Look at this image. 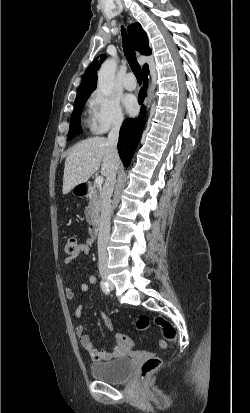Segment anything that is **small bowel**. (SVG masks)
Here are the masks:
<instances>
[{
    "mask_svg": "<svg viewBox=\"0 0 250 413\" xmlns=\"http://www.w3.org/2000/svg\"><path fill=\"white\" fill-rule=\"evenodd\" d=\"M93 241L91 239H88L86 242L80 243L78 247V251L74 255H69L64 259V264L66 267H72L76 263V259L79 255L82 254H88L91 248ZM96 277L93 275L88 276L86 281H82L80 283V289L83 292H86L88 290V285L89 284H95L96 283ZM65 295L66 298L69 300H72L76 296V291L73 288H67L65 290ZM83 305H78L75 309V316L77 318H81L83 314ZM113 330V329H111ZM75 333L79 339V342L81 346L84 348V350L89 354L90 358L94 361H108L112 360L118 356H120L124 350L125 346L122 345L119 341L116 340V347L114 348L113 351H104L96 348L88 334L85 333V327L84 325L80 324L75 328Z\"/></svg>",
    "mask_w": 250,
    "mask_h": 413,
    "instance_id": "1",
    "label": "small bowel"
}]
</instances>
